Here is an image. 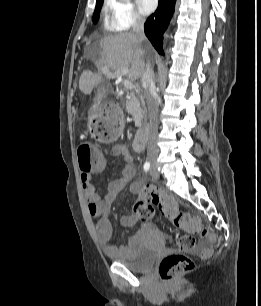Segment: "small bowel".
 <instances>
[{"label": "small bowel", "instance_id": "small-bowel-1", "mask_svg": "<svg viewBox=\"0 0 261 306\" xmlns=\"http://www.w3.org/2000/svg\"><path fill=\"white\" fill-rule=\"evenodd\" d=\"M111 154L114 158H123L126 161L121 176L109 182L107 192L101 196L95 191V187L91 183L92 175L103 171L107 165L106 160H103L91 170L81 171L80 183L82 191L86 200V208L88 215L93 219H96V237L103 252L108 256H127L130 251V247L135 243L131 242L129 246H115L111 240L114 235V227L108 219V215L111 212L112 204L115 201L117 195L121 192L124 186L133 179L135 175V168L132 163V156L128 147L119 143L112 147ZM130 190L140 195L141 185L139 182H133L130 185ZM139 219L136 215H128L121 218V224L124 227H133L138 223Z\"/></svg>", "mask_w": 261, "mask_h": 306}]
</instances>
